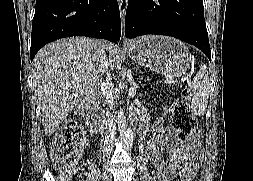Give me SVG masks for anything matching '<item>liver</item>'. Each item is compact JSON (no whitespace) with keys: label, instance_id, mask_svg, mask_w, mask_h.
<instances>
[{"label":"liver","instance_id":"6515ba94","mask_svg":"<svg viewBox=\"0 0 253 181\" xmlns=\"http://www.w3.org/2000/svg\"><path fill=\"white\" fill-rule=\"evenodd\" d=\"M106 53L113 66L117 46L86 37L52 42L33 60V88L41 105L43 126L51 136L79 101L96 90L105 73Z\"/></svg>","mask_w":253,"mask_h":181}]
</instances>
